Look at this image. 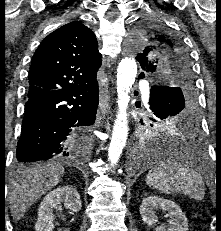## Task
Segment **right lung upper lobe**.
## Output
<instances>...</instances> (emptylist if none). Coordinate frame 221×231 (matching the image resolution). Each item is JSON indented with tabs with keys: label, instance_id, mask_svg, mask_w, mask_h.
<instances>
[{
	"label": "right lung upper lobe",
	"instance_id": "right-lung-upper-lobe-1",
	"mask_svg": "<svg viewBox=\"0 0 221 231\" xmlns=\"http://www.w3.org/2000/svg\"><path fill=\"white\" fill-rule=\"evenodd\" d=\"M101 54L91 29L79 21L50 33L37 48L29 71L28 98L96 81Z\"/></svg>",
	"mask_w": 221,
	"mask_h": 231
}]
</instances>
